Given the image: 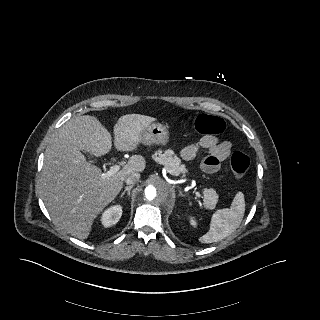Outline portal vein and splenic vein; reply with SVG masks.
<instances>
[{"label":"portal vein and splenic vein","mask_w":320,"mask_h":320,"mask_svg":"<svg viewBox=\"0 0 320 320\" xmlns=\"http://www.w3.org/2000/svg\"><path fill=\"white\" fill-rule=\"evenodd\" d=\"M120 170V166L119 165H113L110 167L109 171L107 173H105L104 175L105 176H111L112 174L118 172ZM195 195L198 197V198H202L201 194L197 191H195Z\"/></svg>","instance_id":"1"}]
</instances>
